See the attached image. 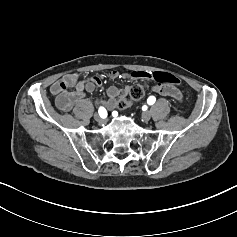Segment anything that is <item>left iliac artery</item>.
<instances>
[{
  "mask_svg": "<svg viewBox=\"0 0 237 237\" xmlns=\"http://www.w3.org/2000/svg\"><path fill=\"white\" fill-rule=\"evenodd\" d=\"M156 101V98L154 96H150L148 99H147V103L149 105H153Z\"/></svg>",
  "mask_w": 237,
  "mask_h": 237,
  "instance_id": "obj_1",
  "label": "left iliac artery"
}]
</instances>
